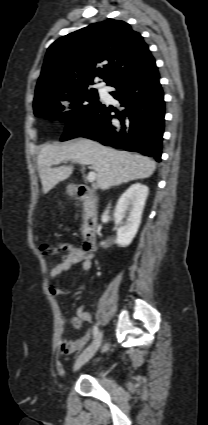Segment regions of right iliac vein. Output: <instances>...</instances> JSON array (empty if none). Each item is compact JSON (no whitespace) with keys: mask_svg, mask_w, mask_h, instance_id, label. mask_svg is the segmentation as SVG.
<instances>
[{"mask_svg":"<svg viewBox=\"0 0 208 425\" xmlns=\"http://www.w3.org/2000/svg\"><path fill=\"white\" fill-rule=\"evenodd\" d=\"M102 340V334H98L96 339L92 342L90 346H88L78 357L74 364V371L79 370L85 363H87L96 353L98 347L100 346Z\"/></svg>","mask_w":208,"mask_h":425,"instance_id":"1","label":"right iliac vein"}]
</instances>
